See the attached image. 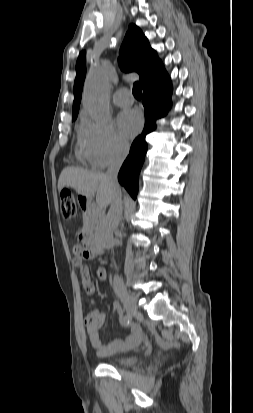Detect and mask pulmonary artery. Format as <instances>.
Returning <instances> with one entry per match:
<instances>
[{
	"label": "pulmonary artery",
	"instance_id": "e3ab8cb5",
	"mask_svg": "<svg viewBox=\"0 0 253 413\" xmlns=\"http://www.w3.org/2000/svg\"><path fill=\"white\" fill-rule=\"evenodd\" d=\"M113 102L117 106L125 107L129 106L134 102L133 96L129 93L127 89L118 90L113 96Z\"/></svg>",
	"mask_w": 253,
	"mask_h": 413
}]
</instances>
